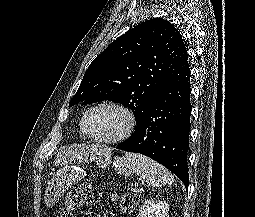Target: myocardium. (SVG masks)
Returning a JSON list of instances; mask_svg holds the SVG:
<instances>
[{
	"instance_id": "1",
	"label": "myocardium",
	"mask_w": 255,
	"mask_h": 217,
	"mask_svg": "<svg viewBox=\"0 0 255 217\" xmlns=\"http://www.w3.org/2000/svg\"><path fill=\"white\" fill-rule=\"evenodd\" d=\"M101 107L113 108V109L117 110L118 112H120L125 118V125H124L123 129L121 130L120 133H118L117 135H115L113 137L105 138V137L96 136V135H93L92 133H90L86 128L85 123H86V119H87V116L89 115V113L92 112L93 110H95L97 108H101ZM80 126H81V130L83 131V133L86 136H88L89 138L96 140L98 142H102V143L114 144V143L121 142L130 136V134L133 132V130L136 126V117H135L133 111L125 104L118 102V101H114V100H103V101H100V102H97V103L91 105L89 108L86 109V111L84 112V114L81 118Z\"/></svg>"
}]
</instances>
